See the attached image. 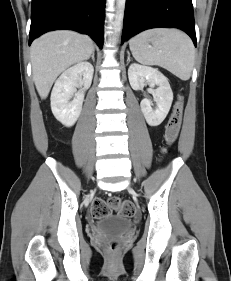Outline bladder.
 Segmentation results:
<instances>
[{"label": "bladder", "mask_w": 231, "mask_h": 281, "mask_svg": "<svg viewBox=\"0 0 231 281\" xmlns=\"http://www.w3.org/2000/svg\"><path fill=\"white\" fill-rule=\"evenodd\" d=\"M130 218L122 215H106L97 220L95 227L97 230L106 233H124L133 228Z\"/></svg>", "instance_id": "obj_1"}]
</instances>
